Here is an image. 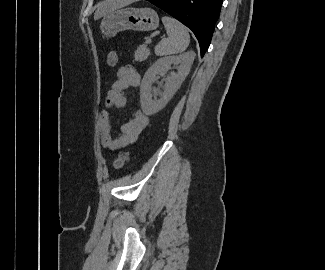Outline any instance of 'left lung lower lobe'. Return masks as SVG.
Returning a JSON list of instances; mask_svg holds the SVG:
<instances>
[{
	"label": "left lung lower lobe",
	"instance_id": "obj_1",
	"mask_svg": "<svg viewBox=\"0 0 325 270\" xmlns=\"http://www.w3.org/2000/svg\"><path fill=\"white\" fill-rule=\"evenodd\" d=\"M187 26L196 36L201 57L208 49L223 0H147Z\"/></svg>",
	"mask_w": 325,
	"mask_h": 270
}]
</instances>
